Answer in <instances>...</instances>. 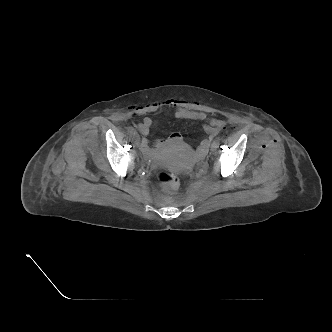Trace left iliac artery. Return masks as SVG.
<instances>
[{
    "label": "left iliac artery",
    "instance_id": "44dca946",
    "mask_svg": "<svg viewBox=\"0 0 332 332\" xmlns=\"http://www.w3.org/2000/svg\"><path fill=\"white\" fill-rule=\"evenodd\" d=\"M220 137H217L216 140L214 141V143L216 144V146L218 147L220 144Z\"/></svg>",
    "mask_w": 332,
    "mask_h": 332
}]
</instances>
